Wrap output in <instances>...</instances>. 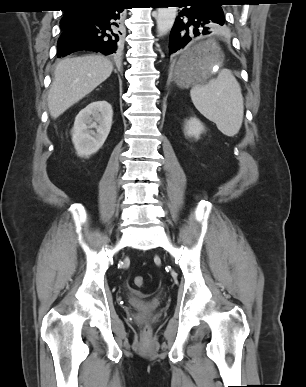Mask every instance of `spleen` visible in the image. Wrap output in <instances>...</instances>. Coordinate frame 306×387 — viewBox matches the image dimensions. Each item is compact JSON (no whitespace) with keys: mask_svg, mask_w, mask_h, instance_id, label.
<instances>
[{"mask_svg":"<svg viewBox=\"0 0 306 387\" xmlns=\"http://www.w3.org/2000/svg\"><path fill=\"white\" fill-rule=\"evenodd\" d=\"M196 109L227 136L236 135L243 122L244 99L241 87L228 69L207 84L195 85L190 91Z\"/></svg>","mask_w":306,"mask_h":387,"instance_id":"spleen-1","label":"spleen"}]
</instances>
